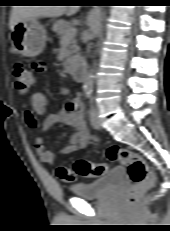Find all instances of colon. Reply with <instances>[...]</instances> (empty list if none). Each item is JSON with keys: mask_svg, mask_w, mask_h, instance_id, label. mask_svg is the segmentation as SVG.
I'll return each mask as SVG.
<instances>
[{"mask_svg": "<svg viewBox=\"0 0 170 231\" xmlns=\"http://www.w3.org/2000/svg\"><path fill=\"white\" fill-rule=\"evenodd\" d=\"M14 85L20 94H26L34 84L33 72L23 63H16L12 68ZM109 161L125 165L133 182L127 192V199L134 201L144 191L153 186L155 175L150 166L138 154L118 145L110 146L106 151ZM105 164H95L85 159L75 161L73 168L60 166L56 169L59 179L64 182H72L76 175L82 177H99L105 174Z\"/></svg>", "mask_w": 170, "mask_h": 231, "instance_id": "obj_1", "label": "colon"}]
</instances>
